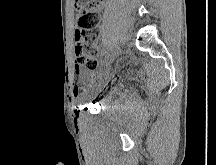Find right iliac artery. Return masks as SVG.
Instances as JSON below:
<instances>
[{"instance_id": "1", "label": "right iliac artery", "mask_w": 216, "mask_h": 165, "mask_svg": "<svg viewBox=\"0 0 216 165\" xmlns=\"http://www.w3.org/2000/svg\"><path fill=\"white\" fill-rule=\"evenodd\" d=\"M116 41L114 40L111 45H109L111 48L109 49V55L111 56L113 53H114V50H115V46H116Z\"/></svg>"}]
</instances>
